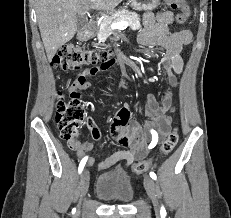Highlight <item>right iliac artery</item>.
Returning a JSON list of instances; mask_svg holds the SVG:
<instances>
[{"label":"right iliac artery","instance_id":"right-iliac-artery-1","mask_svg":"<svg viewBox=\"0 0 231 218\" xmlns=\"http://www.w3.org/2000/svg\"><path fill=\"white\" fill-rule=\"evenodd\" d=\"M86 161H87V157H85V158H83L82 160H81V162H80V164H79V173H81L82 172V170H83V168H84V166H85V164H86Z\"/></svg>","mask_w":231,"mask_h":218}]
</instances>
